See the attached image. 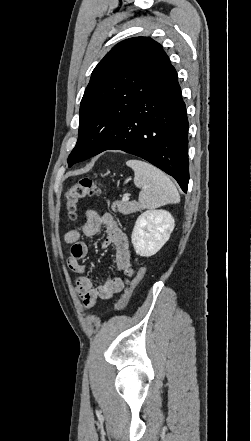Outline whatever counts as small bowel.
<instances>
[{
	"instance_id": "obj_1",
	"label": "small bowel",
	"mask_w": 251,
	"mask_h": 441,
	"mask_svg": "<svg viewBox=\"0 0 251 441\" xmlns=\"http://www.w3.org/2000/svg\"><path fill=\"white\" fill-rule=\"evenodd\" d=\"M102 227L106 232L103 247H113L117 272L127 276L133 273L129 240L114 216L110 213L99 215L95 210L87 209L81 228L69 230L64 235L65 242L71 245L67 266L79 275L75 281L76 291L86 309L92 308L98 300H109L121 292L127 283L122 277H109L102 284L95 285L92 278L86 275L87 267L82 260L88 255V246L82 238L96 235Z\"/></svg>"
}]
</instances>
